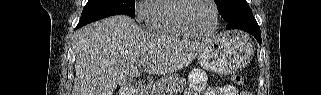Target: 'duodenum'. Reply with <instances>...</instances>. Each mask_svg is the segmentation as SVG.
<instances>
[{
  "label": "duodenum",
  "mask_w": 321,
  "mask_h": 95,
  "mask_svg": "<svg viewBox=\"0 0 321 95\" xmlns=\"http://www.w3.org/2000/svg\"><path fill=\"white\" fill-rule=\"evenodd\" d=\"M120 95H131L127 90H124L120 93Z\"/></svg>",
  "instance_id": "1"
}]
</instances>
